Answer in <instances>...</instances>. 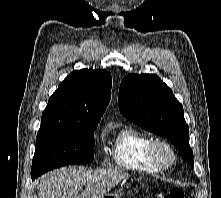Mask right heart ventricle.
I'll return each instance as SVG.
<instances>
[{
    "instance_id": "right-heart-ventricle-1",
    "label": "right heart ventricle",
    "mask_w": 221,
    "mask_h": 198,
    "mask_svg": "<svg viewBox=\"0 0 221 198\" xmlns=\"http://www.w3.org/2000/svg\"><path fill=\"white\" fill-rule=\"evenodd\" d=\"M152 137L132 127L121 129L111 143L113 161L120 167L156 173L161 171L148 156V145Z\"/></svg>"
}]
</instances>
